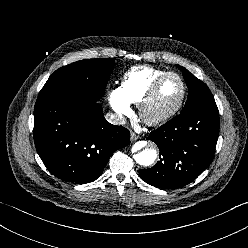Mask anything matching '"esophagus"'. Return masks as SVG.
Masks as SVG:
<instances>
[{
	"instance_id": "34e87169",
	"label": "esophagus",
	"mask_w": 248,
	"mask_h": 248,
	"mask_svg": "<svg viewBox=\"0 0 248 248\" xmlns=\"http://www.w3.org/2000/svg\"><path fill=\"white\" fill-rule=\"evenodd\" d=\"M140 137H139V135H137L136 133H134V132H132L131 134H130V139H131V141H135V140H137V139H139Z\"/></svg>"
}]
</instances>
